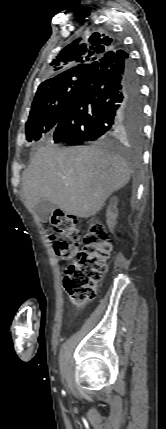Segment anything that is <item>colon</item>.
Here are the masks:
<instances>
[{
  "mask_svg": "<svg viewBox=\"0 0 166 429\" xmlns=\"http://www.w3.org/2000/svg\"><path fill=\"white\" fill-rule=\"evenodd\" d=\"M51 224L59 239L52 236L56 255L61 260H72L64 277V288L71 304L76 308L85 306L97 294V286L107 270L111 252V239L105 227L92 222L86 232L83 247H78L79 231L73 216L56 211Z\"/></svg>",
  "mask_w": 166,
  "mask_h": 429,
  "instance_id": "5ec220e1",
  "label": "colon"
}]
</instances>
